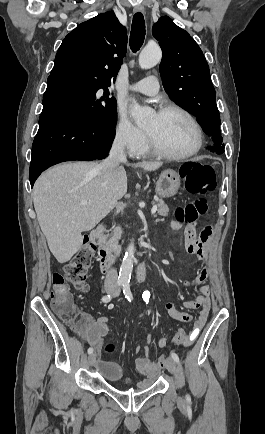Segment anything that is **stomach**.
<instances>
[{"label": "stomach", "mask_w": 265, "mask_h": 434, "mask_svg": "<svg viewBox=\"0 0 265 434\" xmlns=\"http://www.w3.org/2000/svg\"><path fill=\"white\" fill-rule=\"evenodd\" d=\"M181 184V178L174 170H165L156 182V194L160 198H171L177 194Z\"/></svg>", "instance_id": "1"}]
</instances>
